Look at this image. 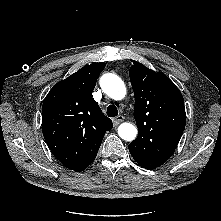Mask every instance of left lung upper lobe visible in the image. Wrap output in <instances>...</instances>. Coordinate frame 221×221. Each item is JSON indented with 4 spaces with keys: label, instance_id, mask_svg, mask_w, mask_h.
<instances>
[{
    "label": "left lung upper lobe",
    "instance_id": "1",
    "mask_svg": "<svg viewBox=\"0 0 221 221\" xmlns=\"http://www.w3.org/2000/svg\"><path fill=\"white\" fill-rule=\"evenodd\" d=\"M131 61L129 76L138 136L128 148L140 166L154 169L172 156L182 136L186 124L184 100L166 75Z\"/></svg>",
    "mask_w": 221,
    "mask_h": 221
}]
</instances>
